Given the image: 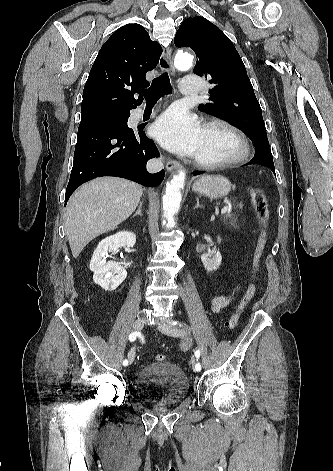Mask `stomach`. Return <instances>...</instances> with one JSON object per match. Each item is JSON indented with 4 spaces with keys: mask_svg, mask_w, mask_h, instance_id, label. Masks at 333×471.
Wrapping results in <instances>:
<instances>
[{
    "mask_svg": "<svg viewBox=\"0 0 333 471\" xmlns=\"http://www.w3.org/2000/svg\"><path fill=\"white\" fill-rule=\"evenodd\" d=\"M231 189L229 180L222 175H203L192 186V190L210 199L226 196Z\"/></svg>",
    "mask_w": 333,
    "mask_h": 471,
    "instance_id": "0dacf381",
    "label": "stomach"
}]
</instances>
